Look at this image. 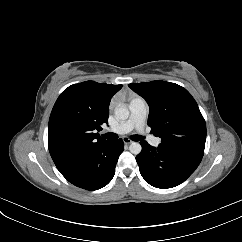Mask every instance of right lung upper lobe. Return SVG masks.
Wrapping results in <instances>:
<instances>
[{"instance_id":"1","label":"right lung upper lobe","mask_w":242,"mask_h":242,"mask_svg":"<svg viewBox=\"0 0 242 242\" xmlns=\"http://www.w3.org/2000/svg\"><path fill=\"white\" fill-rule=\"evenodd\" d=\"M121 87L85 81L69 86L60 94L48 126L49 152L57 167L106 141L96 131L108 124L110 100Z\"/></svg>"}]
</instances>
